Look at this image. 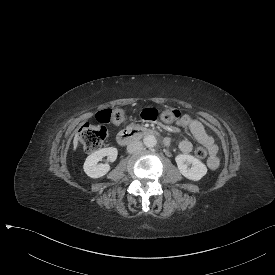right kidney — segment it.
<instances>
[{
    "instance_id": "1",
    "label": "right kidney",
    "mask_w": 275,
    "mask_h": 275,
    "mask_svg": "<svg viewBox=\"0 0 275 275\" xmlns=\"http://www.w3.org/2000/svg\"><path fill=\"white\" fill-rule=\"evenodd\" d=\"M118 151L114 147L102 148L89 155L83 165L85 173L91 178L104 176L110 170L109 164H98L103 157L107 156L108 161L114 162L117 158Z\"/></svg>"
}]
</instances>
